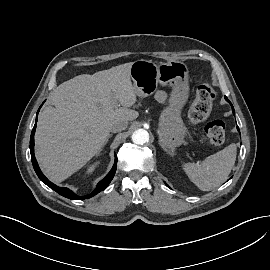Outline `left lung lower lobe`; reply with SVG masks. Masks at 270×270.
Returning a JSON list of instances; mask_svg holds the SVG:
<instances>
[{
  "instance_id": "left-lung-lower-lobe-1",
  "label": "left lung lower lobe",
  "mask_w": 270,
  "mask_h": 270,
  "mask_svg": "<svg viewBox=\"0 0 270 270\" xmlns=\"http://www.w3.org/2000/svg\"><path fill=\"white\" fill-rule=\"evenodd\" d=\"M226 98V97H225ZM226 100L229 102V100L226 98ZM230 103V102H229ZM231 104V103H230ZM231 106H232V104H231ZM232 112L235 114V112H234V108H233V106H232ZM238 129V131H239V128H237Z\"/></svg>"
}]
</instances>
